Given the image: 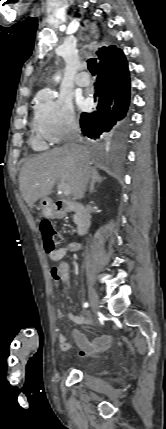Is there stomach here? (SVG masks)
<instances>
[{
	"label": "stomach",
	"mask_w": 166,
	"mask_h": 429,
	"mask_svg": "<svg viewBox=\"0 0 166 429\" xmlns=\"http://www.w3.org/2000/svg\"><path fill=\"white\" fill-rule=\"evenodd\" d=\"M39 205L43 216L47 218H53L56 216V211L51 199L47 197L41 198Z\"/></svg>",
	"instance_id": "1"
}]
</instances>
